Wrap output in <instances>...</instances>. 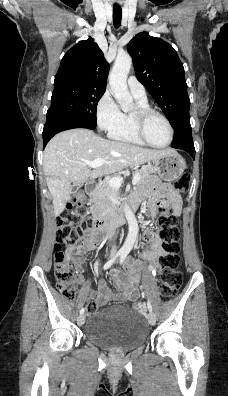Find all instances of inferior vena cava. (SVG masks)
Segmentation results:
<instances>
[{
  "label": "inferior vena cava",
  "instance_id": "1",
  "mask_svg": "<svg viewBox=\"0 0 228 396\" xmlns=\"http://www.w3.org/2000/svg\"><path fill=\"white\" fill-rule=\"evenodd\" d=\"M114 234H115V231L111 230L110 231V238H112L114 236ZM114 250H115V246L112 248V251H114Z\"/></svg>",
  "mask_w": 228,
  "mask_h": 396
}]
</instances>
